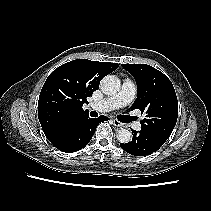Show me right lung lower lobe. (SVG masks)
<instances>
[{"label":"right lung lower lobe","mask_w":211,"mask_h":211,"mask_svg":"<svg viewBox=\"0 0 211 211\" xmlns=\"http://www.w3.org/2000/svg\"><path fill=\"white\" fill-rule=\"evenodd\" d=\"M108 120L105 116L99 118H78L64 124L49 141L62 152L72 153L85 147L92 136L98 124Z\"/></svg>","instance_id":"right-lung-lower-lobe-1"}]
</instances>
